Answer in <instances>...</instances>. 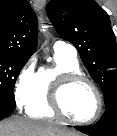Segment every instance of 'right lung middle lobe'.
<instances>
[{
	"instance_id": "dd1d6c3e",
	"label": "right lung middle lobe",
	"mask_w": 117,
	"mask_h": 136,
	"mask_svg": "<svg viewBox=\"0 0 117 136\" xmlns=\"http://www.w3.org/2000/svg\"><path fill=\"white\" fill-rule=\"evenodd\" d=\"M27 61L26 58L0 55V96L14 99L16 79Z\"/></svg>"
}]
</instances>
